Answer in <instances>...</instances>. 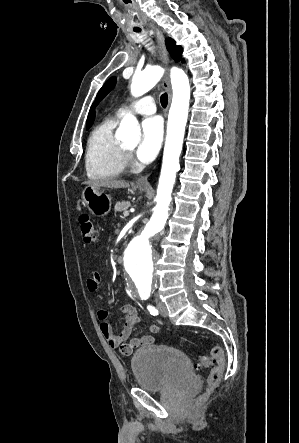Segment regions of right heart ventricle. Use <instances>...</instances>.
I'll use <instances>...</instances> for the list:
<instances>
[{"label": "right heart ventricle", "mask_w": 299, "mask_h": 443, "mask_svg": "<svg viewBox=\"0 0 299 443\" xmlns=\"http://www.w3.org/2000/svg\"><path fill=\"white\" fill-rule=\"evenodd\" d=\"M114 127V119L105 120L94 128L88 138L85 167L92 179L116 178L125 167L126 156L114 135Z\"/></svg>", "instance_id": "obj_1"}]
</instances>
